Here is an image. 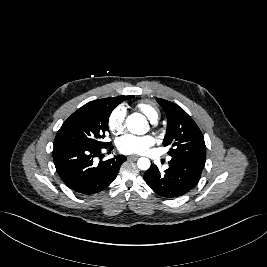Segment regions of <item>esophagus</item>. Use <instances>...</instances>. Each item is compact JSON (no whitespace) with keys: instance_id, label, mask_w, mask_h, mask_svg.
<instances>
[{"instance_id":"34e87169","label":"esophagus","mask_w":267,"mask_h":267,"mask_svg":"<svg viewBox=\"0 0 267 267\" xmlns=\"http://www.w3.org/2000/svg\"><path fill=\"white\" fill-rule=\"evenodd\" d=\"M139 158V156H137V155H130V156H128V159L129 160H137Z\"/></svg>"}]
</instances>
